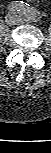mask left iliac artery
I'll return each instance as SVG.
<instances>
[{"label": "left iliac artery", "mask_w": 51, "mask_h": 153, "mask_svg": "<svg viewBox=\"0 0 51 153\" xmlns=\"http://www.w3.org/2000/svg\"><path fill=\"white\" fill-rule=\"evenodd\" d=\"M28 21H35L38 13L33 7H28V11L25 13Z\"/></svg>", "instance_id": "left-iliac-artery-1"}]
</instances>
